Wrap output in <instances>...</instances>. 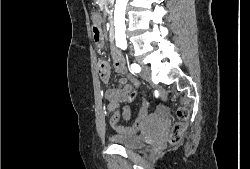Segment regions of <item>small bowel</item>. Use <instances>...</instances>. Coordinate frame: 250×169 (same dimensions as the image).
I'll return each instance as SVG.
<instances>
[{
  "instance_id": "obj_1",
  "label": "small bowel",
  "mask_w": 250,
  "mask_h": 169,
  "mask_svg": "<svg viewBox=\"0 0 250 169\" xmlns=\"http://www.w3.org/2000/svg\"><path fill=\"white\" fill-rule=\"evenodd\" d=\"M100 22V18H99ZM101 45H97V47L101 48ZM113 65L115 70L120 74H125L127 72L126 61L125 58L121 55L119 51L113 48L112 52ZM98 70L101 76V79L105 85L109 84L111 80V69L106 61H99ZM140 87V82L137 78L133 76H126L121 79L118 84L114 87L107 89L105 92V98L109 103H130L134 100V98H128L127 94L130 91H137ZM112 110V108H110ZM122 115L124 118L129 119L130 111L128 108H124Z\"/></svg>"
}]
</instances>
